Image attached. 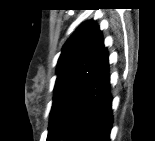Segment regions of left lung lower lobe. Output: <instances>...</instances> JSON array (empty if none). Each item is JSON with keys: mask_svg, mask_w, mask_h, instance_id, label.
I'll list each match as a JSON object with an SVG mask.
<instances>
[{"mask_svg": "<svg viewBox=\"0 0 155 141\" xmlns=\"http://www.w3.org/2000/svg\"><path fill=\"white\" fill-rule=\"evenodd\" d=\"M108 58L106 50L92 79L66 115L58 140L110 141L113 115Z\"/></svg>", "mask_w": 155, "mask_h": 141, "instance_id": "0a47b994", "label": "left lung lower lobe"}]
</instances>
